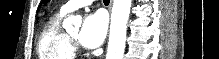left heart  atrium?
<instances>
[{
	"instance_id": "left-heart-atrium-1",
	"label": "left heart atrium",
	"mask_w": 219,
	"mask_h": 59,
	"mask_svg": "<svg viewBox=\"0 0 219 59\" xmlns=\"http://www.w3.org/2000/svg\"><path fill=\"white\" fill-rule=\"evenodd\" d=\"M107 19L101 12L87 15L79 34L80 43L87 48L100 46L106 36Z\"/></svg>"
}]
</instances>
